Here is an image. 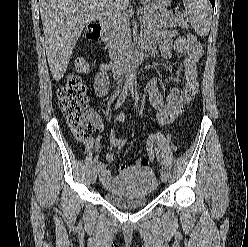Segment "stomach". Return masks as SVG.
I'll return each mask as SVG.
<instances>
[{
    "mask_svg": "<svg viewBox=\"0 0 248 247\" xmlns=\"http://www.w3.org/2000/svg\"><path fill=\"white\" fill-rule=\"evenodd\" d=\"M148 9H162L165 8L171 0H140Z\"/></svg>",
    "mask_w": 248,
    "mask_h": 247,
    "instance_id": "1",
    "label": "stomach"
}]
</instances>
